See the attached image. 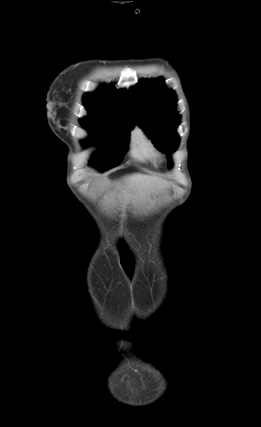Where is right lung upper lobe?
I'll return each instance as SVG.
<instances>
[{
	"label": "right lung upper lobe",
	"mask_w": 261,
	"mask_h": 427,
	"mask_svg": "<svg viewBox=\"0 0 261 427\" xmlns=\"http://www.w3.org/2000/svg\"><path fill=\"white\" fill-rule=\"evenodd\" d=\"M84 105L89 111V117L85 119L100 121H123L135 125L128 92L117 91L110 86L95 93L84 95Z\"/></svg>",
	"instance_id": "cb5924a9"
}]
</instances>
